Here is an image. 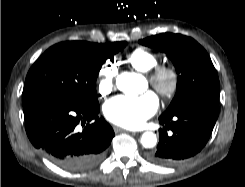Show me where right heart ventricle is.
Instances as JSON below:
<instances>
[{"instance_id": "1", "label": "right heart ventricle", "mask_w": 245, "mask_h": 187, "mask_svg": "<svg viewBox=\"0 0 245 187\" xmlns=\"http://www.w3.org/2000/svg\"><path fill=\"white\" fill-rule=\"evenodd\" d=\"M128 63L137 71L147 73L159 63V57L153 51L144 48L136 47L128 52Z\"/></svg>"}]
</instances>
